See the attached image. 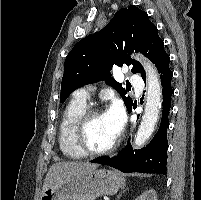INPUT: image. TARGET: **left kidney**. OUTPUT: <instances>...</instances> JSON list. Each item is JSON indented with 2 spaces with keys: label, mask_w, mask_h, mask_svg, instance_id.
Wrapping results in <instances>:
<instances>
[{
  "label": "left kidney",
  "mask_w": 201,
  "mask_h": 200,
  "mask_svg": "<svg viewBox=\"0 0 201 200\" xmlns=\"http://www.w3.org/2000/svg\"><path fill=\"white\" fill-rule=\"evenodd\" d=\"M135 200H157L156 191L154 189H149L142 193Z\"/></svg>",
  "instance_id": "left-kidney-1"
}]
</instances>
